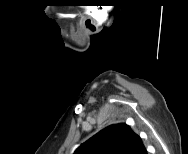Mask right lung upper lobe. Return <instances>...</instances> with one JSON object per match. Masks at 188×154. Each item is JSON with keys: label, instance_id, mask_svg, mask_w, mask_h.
<instances>
[{"label": "right lung upper lobe", "instance_id": "obj_1", "mask_svg": "<svg viewBox=\"0 0 188 154\" xmlns=\"http://www.w3.org/2000/svg\"><path fill=\"white\" fill-rule=\"evenodd\" d=\"M74 154H147L141 138L124 124L111 125L81 144Z\"/></svg>", "mask_w": 188, "mask_h": 154}]
</instances>
